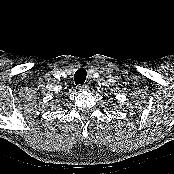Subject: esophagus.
<instances>
[{
    "instance_id": "esophagus-1",
    "label": "esophagus",
    "mask_w": 174,
    "mask_h": 174,
    "mask_svg": "<svg viewBox=\"0 0 174 174\" xmlns=\"http://www.w3.org/2000/svg\"><path fill=\"white\" fill-rule=\"evenodd\" d=\"M88 88H89L88 85L87 84H84V85H80L79 88H78V90L80 92H82V91H86Z\"/></svg>"
}]
</instances>
